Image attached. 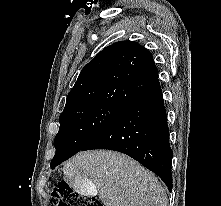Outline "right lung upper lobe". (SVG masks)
<instances>
[{
  "instance_id": "1",
  "label": "right lung upper lobe",
  "mask_w": 221,
  "mask_h": 206,
  "mask_svg": "<svg viewBox=\"0 0 221 206\" xmlns=\"http://www.w3.org/2000/svg\"><path fill=\"white\" fill-rule=\"evenodd\" d=\"M158 84L151 53L132 41L117 42L85 65L64 111L95 103L126 107Z\"/></svg>"
}]
</instances>
